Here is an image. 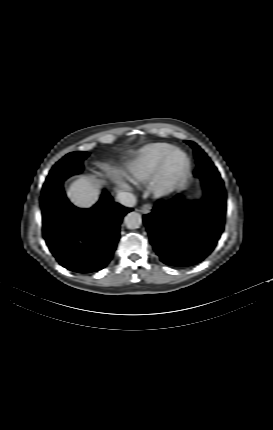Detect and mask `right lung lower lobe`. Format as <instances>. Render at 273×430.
<instances>
[{
  "instance_id": "right-lung-lower-lobe-1",
  "label": "right lung lower lobe",
  "mask_w": 273,
  "mask_h": 430,
  "mask_svg": "<svg viewBox=\"0 0 273 430\" xmlns=\"http://www.w3.org/2000/svg\"><path fill=\"white\" fill-rule=\"evenodd\" d=\"M43 235L60 265L78 273L105 268L116 249L122 218L131 208L113 201L106 191L91 209L73 206L63 183L41 196Z\"/></svg>"
}]
</instances>
